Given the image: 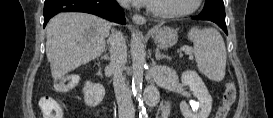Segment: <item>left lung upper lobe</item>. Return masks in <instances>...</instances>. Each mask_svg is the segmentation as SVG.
Instances as JSON below:
<instances>
[{
    "instance_id": "left-lung-upper-lobe-1",
    "label": "left lung upper lobe",
    "mask_w": 273,
    "mask_h": 118,
    "mask_svg": "<svg viewBox=\"0 0 273 118\" xmlns=\"http://www.w3.org/2000/svg\"><path fill=\"white\" fill-rule=\"evenodd\" d=\"M200 15L225 21L223 0H205V5Z\"/></svg>"
}]
</instances>
